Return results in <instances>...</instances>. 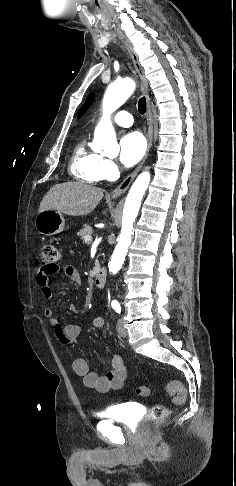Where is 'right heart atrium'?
Instances as JSON below:
<instances>
[{
	"label": "right heart atrium",
	"mask_w": 236,
	"mask_h": 486,
	"mask_svg": "<svg viewBox=\"0 0 236 486\" xmlns=\"http://www.w3.org/2000/svg\"><path fill=\"white\" fill-rule=\"evenodd\" d=\"M100 170L102 179L108 180L116 175L118 168L114 161L110 159H103Z\"/></svg>",
	"instance_id": "1"
}]
</instances>
